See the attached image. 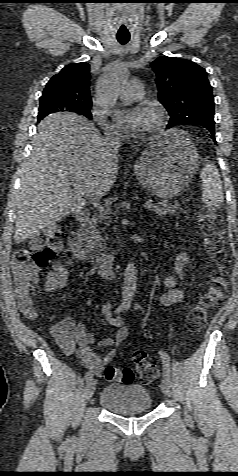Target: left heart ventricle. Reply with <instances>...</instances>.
Masks as SVG:
<instances>
[{
	"label": "left heart ventricle",
	"instance_id": "obj_1",
	"mask_svg": "<svg viewBox=\"0 0 238 476\" xmlns=\"http://www.w3.org/2000/svg\"><path fill=\"white\" fill-rule=\"evenodd\" d=\"M155 121H156V115L154 111L149 108L146 130L150 129L155 124Z\"/></svg>",
	"mask_w": 238,
	"mask_h": 476
}]
</instances>
